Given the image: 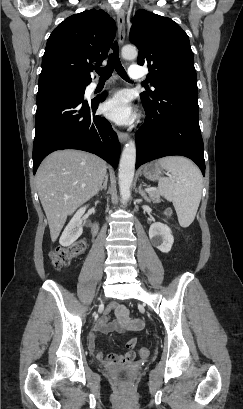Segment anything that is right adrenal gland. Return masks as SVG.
I'll return each mask as SVG.
<instances>
[{
  "label": "right adrenal gland",
  "mask_w": 243,
  "mask_h": 409,
  "mask_svg": "<svg viewBox=\"0 0 243 409\" xmlns=\"http://www.w3.org/2000/svg\"><path fill=\"white\" fill-rule=\"evenodd\" d=\"M107 182H108V174L105 175L103 185L100 188V191L107 189Z\"/></svg>",
  "instance_id": "right-adrenal-gland-1"
}]
</instances>
